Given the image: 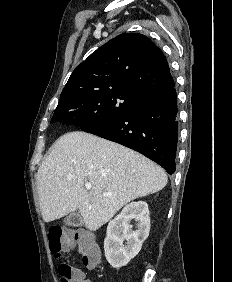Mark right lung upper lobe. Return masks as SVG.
<instances>
[{
  "label": "right lung upper lobe",
  "instance_id": "cb5924a9",
  "mask_svg": "<svg viewBox=\"0 0 232 282\" xmlns=\"http://www.w3.org/2000/svg\"><path fill=\"white\" fill-rule=\"evenodd\" d=\"M173 84L162 51L142 34L124 33L98 48L74 69L60 101L113 89L130 90L145 97Z\"/></svg>",
  "mask_w": 232,
  "mask_h": 282
}]
</instances>
